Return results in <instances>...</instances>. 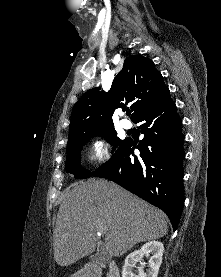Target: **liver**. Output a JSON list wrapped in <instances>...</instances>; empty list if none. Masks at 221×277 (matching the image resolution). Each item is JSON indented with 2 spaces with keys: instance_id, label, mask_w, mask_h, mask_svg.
I'll use <instances>...</instances> for the list:
<instances>
[{
  "instance_id": "obj_1",
  "label": "liver",
  "mask_w": 221,
  "mask_h": 277,
  "mask_svg": "<svg viewBox=\"0 0 221 277\" xmlns=\"http://www.w3.org/2000/svg\"><path fill=\"white\" fill-rule=\"evenodd\" d=\"M99 226L105 228L104 247L110 257L168 232L161 210L113 182L90 179L75 186L60 205L54 232L56 263L69 266L94 252Z\"/></svg>"
}]
</instances>
